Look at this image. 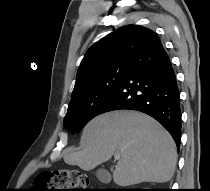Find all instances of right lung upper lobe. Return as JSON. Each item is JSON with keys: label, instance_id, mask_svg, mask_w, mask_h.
<instances>
[{"label": "right lung upper lobe", "instance_id": "obj_1", "mask_svg": "<svg viewBox=\"0 0 210 191\" xmlns=\"http://www.w3.org/2000/svg\"><path fill=\"white\" fill-rule=\"evenodd\" d=\"M152 30L127 25L108 34L89 48L77 73L74 94L99 70L117 62H130L155 35Z\"/></svg>", "mask_w": 210, "mask_h": 191}]
</instances>
